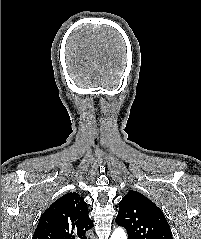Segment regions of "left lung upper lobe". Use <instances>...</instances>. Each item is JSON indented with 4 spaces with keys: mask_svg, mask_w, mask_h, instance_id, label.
Instances as JSON below:
<instances>
[{
    "mask_svg": "<svg viewBox=\"0 0 201 239\" xmlns=\"http://www.w3.org/2000/svg\"><path fill=\"white\" fill-rule=\"evenodd\" d=\"M129 239H172V233L164 214L143 194L129 191L119 202L116 217Z\"/></svg>",
    "mask_w": 201,
    "mask_h": 239,
    "instance_id": "left-lung-upper-lobe-1",
    "label": "left lung upper lobe"
}]
</instances>
